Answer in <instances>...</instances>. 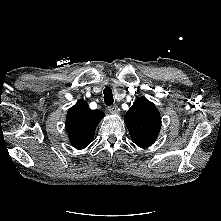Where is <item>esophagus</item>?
I'll use <instances>...</instances> for the list:
<instances>
[{"label":"esophagus","mask_w":221,"mask_h":221,"mask_svg":"<svg viewBox=\"0 0 221 221\" xmlns=\"http://www.w3.org/2000/svg\"><path fill=\"white\" fill-rule=\"evenodd\" d=\"M108 110L111 114H117L118 113V107L116 105L109 107Z\"/></svg>","instance_id":"34e87169"}]
</instances>
